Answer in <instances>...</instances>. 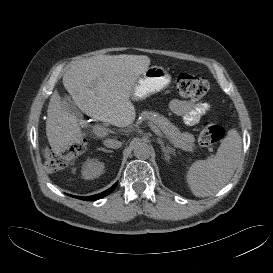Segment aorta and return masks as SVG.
<instances>
[{
    "mask_svg": "<svg viewBox=\"0 0 273 273\" xmlns=\"http://www.w3.org/2000/svg\"><path fill=\"white\" fill-rule=\"evenodd\" d=\"M134 156L138 159H147L151 154V147L147 143H137L133 150Z\"/></svg>",
    "mask_w": 273,
    "mask_h": 273,
    "instance_id": "762f6f07",
    "label": "aorta"
}]
</instances>
